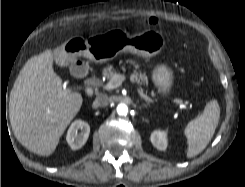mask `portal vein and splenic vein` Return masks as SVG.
Returning <instances> with one entry per match:
<instances>
[{
  "mask_svg": "<svg viewBox=\"0 0 245 187\" xmlns=\"http://www.w3.org/2000/svg\"><path fill=\"white\" fill-rule=\"evenodd\" d=\"M124 80H125L124 75L115 74V75H113L112 79L104 86V89H106V90L115 89V88L121 86V84ZM137 92L146 102L154 103V101L149 96H147L146 94L143 93L142 89L137 88ZM172 102L183 107V108H186V106H187V103L180 100V99H174Z\"/></svg>",
  "mask_w": 245,
  "mask_h": 187,
  "instance_id": "obj_1",
  "label": "portal vein and splenic vein"
}]
</instances>
